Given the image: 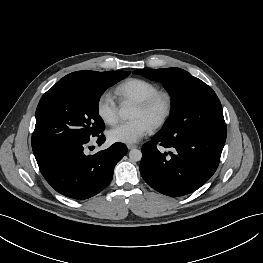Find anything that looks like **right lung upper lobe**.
Instances as JSON below:
<instances>
[{"label":"right lung upper lobe","instance_id":"obj_1","mask_svg":"<svg viewBox=\"0 0 263 263\" xmlns=\"http://www.w3.org/2000/svg\"><path fill=\"white\" fill-rule=\"evenodd\" d=\"M90 72L91 71H77V72H73V73H70V74L66 75L65 77H63L61 79V81H77V80H80V79L84 78L88 74H90Z\"/></svg>","mask_w":263,"mask_h":263}]
</instances>
